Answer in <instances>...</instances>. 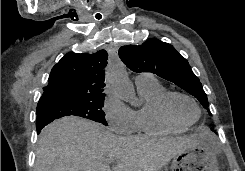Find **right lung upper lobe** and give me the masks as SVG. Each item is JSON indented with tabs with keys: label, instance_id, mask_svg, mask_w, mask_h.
Returning a JSON list of instances; mask_svg holds the SVG:
<instances>
[{
	"label": "right lung upper lobe",
	"instance_id": "1",
	"mask_svg": "<svg viewBox=\"0 0 245 171\" xmlns=\"http://www.w3.org/2000/svg\"><path fill=\"white\" fill-rule=\"evenodd\" d=\"M108 54L99 50L93 54L67 53L52 68L48 85L39 103L48 99L94 97L103 95L104 68Z\"/></svg>",
	"mask_w": 245,
	"mask_h": 171
}]
</instances>
